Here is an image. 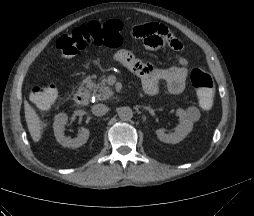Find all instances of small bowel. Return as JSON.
<instances>
[{"label":"small bowel","instance_id":"obj_1","mask_svg":"<svg viewBox=\"0 0 254 216\" xmlns=\"http://www.w3.org/2000/svg\"><path fill=\"white\" fill-rule=\"evenodd\" d=\"M135 38L142 39L147 48L152 50H178L181 48L180 41L171 35L167 27H158L155 24L138 26L133 31ZM112 59L134 73L141 76L144 90L149 95L159 92V85L165 82L168 92L172 95L181 94L185 88L189 76V61L180 57L176 67L153 68L150 64L142 62L127 50L116 51Z\"/></svg>","mask_w":254,"mask_h":216}]
</instances>
